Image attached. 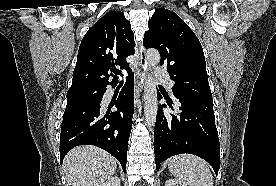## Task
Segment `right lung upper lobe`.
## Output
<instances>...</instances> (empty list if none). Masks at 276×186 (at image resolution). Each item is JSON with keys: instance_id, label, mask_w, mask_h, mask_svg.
<instances>
[{"instance_id": "cb5924a9", "label": "right lung upper lobe", "mask_w": 276, "mask_h": 186, "mask_svg": "<svg viewBox=\"0 0 276 186\" xmlns=\"http://www.w3.org/2000/svg\"><path fill=\"white\" fill-rule=\"evenodd\" d=\"M134 34L120 11H110L99 19L83 37L69 90L84 87H106L118 82L116 66L127 69L126 57L133 55ZM113 77L109 82V77Z\"/></svg>"}]
</instances>
